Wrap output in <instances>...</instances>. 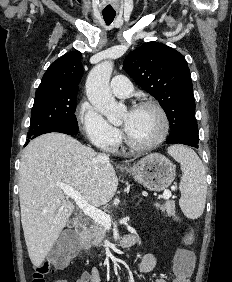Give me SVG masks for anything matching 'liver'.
Segmentation results:
<instances>
[{"instance_id":"6515ba94","label":"liver","mask_w":232,"mask_h":282,"mask_svg":"<svg viewBox=\"0 0 232 282\" xmlns=\"http://www.w3.org/2000/svg\"><path fill=\"white\" fill-rule=\"evenodd\" d=\"M60 184L77 190L94 207L118 187L115 168L91 148L61 133L43 134L24 149L19 171L21 223L30 260L40 266L66 226L74 204Z\"/></svg>"}]
</instances>
